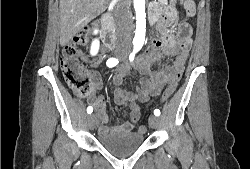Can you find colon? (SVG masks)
Returning <instances> with one entry per match:
<instances>
[{"instance_id": "colon-1", "label": "colon", "mask_w": 250, "mask_h": 169, "mask_svg": "<svg viewBox=\"0 0 250 169\" xmlns=\"http://www.w3.org/2000/svg\"><path fill=\"white\" fill-rule=\"evenodd\" d=\"M186 11L193 12L194 4L191 1L184 3ZM183 35L189 32L187 24H182L180 28ZM92 39L91 29L84 30L75 34L73 38H68L67 42L62 45L60 52V67L63 77L69 88L79 97H90L93 95V87L90 75L83 67L77 55V47L87 46ZM177 86V81H169L168 87L163 90L162 103L167 102V97H171ZM146 130L145 126L139 128L140 132Z\"/></svg>"}]
</instances>
